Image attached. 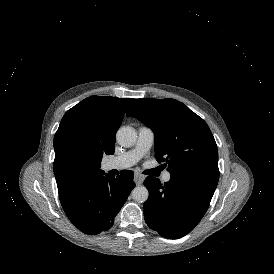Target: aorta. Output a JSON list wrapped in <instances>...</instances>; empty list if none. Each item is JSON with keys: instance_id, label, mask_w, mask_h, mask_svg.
<instances>
[{"instance_id": "762f6f07", "label": "aorta", "mask_w": 274, "mask_h": 274, "mask_svg": "<svg viewBox=\"0 0 274 274\" xmlns=\"http://www.w3.org/2000/svg\"><path fill=\"white\" fill-rule=\"evenodd\" d=\"M117 142L123 147H131L135 145L137 140V133L133 127L124 126L119 128L116 134ZM132 198L139 203H144L148 197L149 192L144 186H137L132 190Z\"/></svg>"}]
</instances>
